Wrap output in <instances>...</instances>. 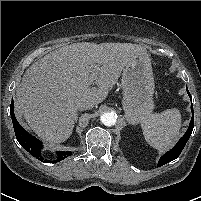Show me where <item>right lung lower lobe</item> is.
<instances>
[{
	"mask_svg": "<svg viewBox=\"0 0 201 201\" xmlns=\"http://www.w3.org/2000/svg\"><path fill=\"white\" fill-rule=\"evenodd\" d=\"M10 114L14 126V131L16 138L20 145L28 152L30 153L33 157H36L38 160L42 162H59L68 156H70L72 153L70 151H58L56 159L54 161H50L47 159H44L43 155L41 154V149H42V143L37 140L35 137L30 135L25 129L21 127V125L18 123L15 114H14V103L11 101L10 105Z\"/></svg>",
	"mask_w": 201,
	"mask_h": 201,
	"instance_id": "right-lung-lower-lobe-1",
	"label": "right lung lower lobe"
}]
</instances>
